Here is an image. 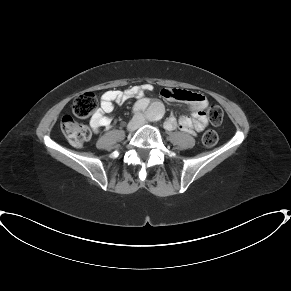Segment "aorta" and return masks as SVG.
<instances>
[{"label":"aorta","instance_id":"obj_1","mask_svg":"<svg viewBox=\"0 0 291 291\" xmlns=\"http://www.w3.org/2000/svg\"><path fill=\"white\" fill-rule=\"evenodd\" d=\"M148 115L150 118H159L161 114L153 112V109L151 108L148 112Z\"/></svg>","mask_w":291,"mask_h":291}]
</instances>
